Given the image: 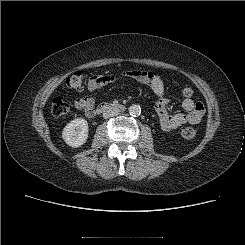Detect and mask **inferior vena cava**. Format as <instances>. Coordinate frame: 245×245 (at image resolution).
Returning <instances> with one entry per match:
<instances>
[{"label":"inferior vena cava","mask_w":245,"mask_h":245,"mask_svg":"<svg viewBox=\"0 0 245 245\" xmlns=\"http://www.w3.org/2000/svg\"><path fill=\"white\" fill-rule=\"evenodd\" d=\"M119 114V111L116 109H111V110H107L103 113V118L107 119L113 116H116Z\"/></svg>","instance_id":"inferior-vena-cava-1"}]
</instances>
